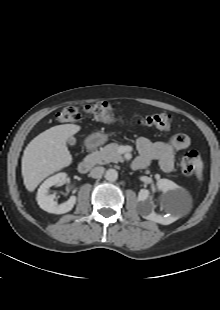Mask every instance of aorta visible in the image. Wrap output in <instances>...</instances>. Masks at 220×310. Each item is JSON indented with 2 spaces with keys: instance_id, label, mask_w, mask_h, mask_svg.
<instances>
[{
  "instance_id": "obj_1",
  "label": "aorta",
  "mask_w": 220,
  "mask_h": 310,
  "mask_svg": "<svg viewBox=\"0 0 220 310\" xmlns=\"http://www.w3.org/2000/svg\"><path fill=\"white\" fill-rule=\"evenodd\" d=\"M106 180L114 182L118 178V172L115 169H108L105 174Z\"/></svg>"
}]
</instances>
